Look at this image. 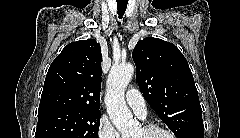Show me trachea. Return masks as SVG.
I'll use <instances>...</instances> for the list:
<instances>
[{
  "label": "trachea",
  "instance_id": "obj_1",
  "mask_svg": "<svg viewBox=\"0 0 240 138\" xmlns=\"http://www.w3.org/2000/svg\"><path fill=\"white\" fill-rule=\"evenodd\" d=\"M126 8H127V4H119V5H117L119 18L123 17Z\"/></svg>",
  "mask_w": 240,
  "mask_h": 138
}]
</instances>
